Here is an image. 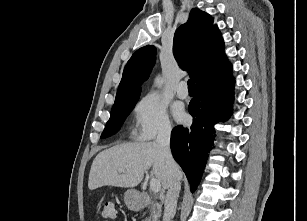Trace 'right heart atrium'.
Here are the masks:
<instances>
[{"instance_id":"obj_1","label":"right heart atrium","mask_w":307,"mask_h":221,"mask_svg":"<svg viewBox=\"0 0 307 221\" xmlns=\"http://www.w3.org/2000/svg\"><path fill=\"white\" fill-rule=\"evenodd\" d=\"M136 139L153 140L172 132V124L166 104L156 93L142 97L134 107Z\"/></svg>"}]
</instances>
